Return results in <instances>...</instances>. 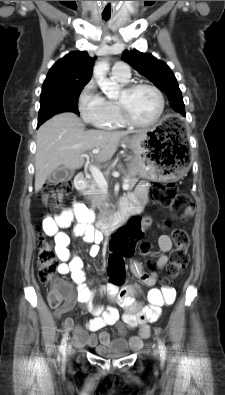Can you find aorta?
Masks as SVG:
<instances>
[{
  "instance_id": "aorta-1",
  "label": "aorta",
  "mask_w": 225,
  "mask_h": 395,
  "mask_svg": "<svg viewBox=\"0 0 225 395\" xmlns=\"http://www.w3.org/2000/svg\"><path fill=\"white\" fill-rule=\"evenodd\" d=\"M109 70V64L105 60L97 62L94 66V77L98 86L106 94L109 99H116L119 96V91L116 83L109 81L106 77Z\"/></svg>"
}]
</instances>
